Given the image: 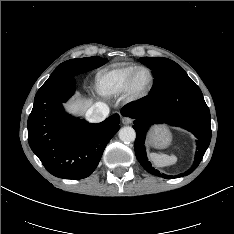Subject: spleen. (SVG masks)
Listing matches in <instances>:
<instances>
[{
  "label": "spleen",
  "mask_w": 234,
  "mask_h": 234,
  "mask_svg": "<svg viewBox=\"0 0 234 234\" xmlns=\"http://www.w3.org/2000/svg\"><path fill=\"white\" fill-rule=\"evenodd\" d=\"M149 158L156 167H166L177 162L175 155L150 153Z\"/></svg>",
  "instance_id": "3e777b00"
}]
</instances>
